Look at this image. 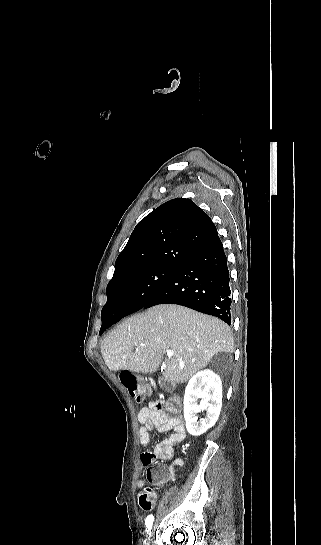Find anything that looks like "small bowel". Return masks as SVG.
<instances>
[{"label": "small bowel", "mask_w": 321, "mask_h": 545, "mask_svg": "<svg viewBox=\"0 0 321 545\" xmlns=\"http://www.w3.org/2000/svg\"><path fill=\"white\" fill-rule=\"evenodd\" d=\"M140 423L138 435L142 447H147L150 440L149 433L157 431L160 433L170 432L171 434L159 442L154 448V454L144 453L141 456V463L147 467L146 480L152 483L161 484L175 478V467L183 465L181 458L174 459L171 464H165L172 459L174 449L178 447L187 437L185 425L178 412L174 400L167 402L152 401L143 407L138 413ZM154 458L161 461L154 464ZM161 471L159 479H155L157 472ZM145 479L137 481V487L143 488L146 485Z\"/></svg>", "instance_id": "1"}]
</instances>
